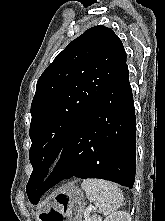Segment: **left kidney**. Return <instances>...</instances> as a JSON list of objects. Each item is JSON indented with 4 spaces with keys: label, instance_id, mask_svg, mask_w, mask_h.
Returning a JSON list of instances; mask_svg holds the SVG:
<instances>
[{
    "label": "left kidney",
    "instance_id": "5707ae66",
    "mask_svg": "<svg viewBox=\"0 0 165 221\" xmlns=\"http://www.w3.org/2000/svg\"><path fill=\"white\" fill-rule=\"evenodd\" d=\"M104 221H131V216L127 212L117 211L109 215Z\"/></svg>",
    "mask_w": 165,
    "mask_h": 221
}]
</instances>
